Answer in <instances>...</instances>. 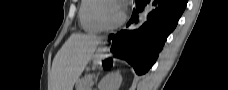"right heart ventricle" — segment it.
<instances>
[{"label":"right heart ventricle","mask_w":228,"mask_h":90,"mask_svg":"<svg viewBox=\"0 0 228 90\" xmlns=\"http://www.w3.org/2000/svg\"><path fill=\"white\" fill-rule=\"evenodd\" d=\"M98 0H82L79 7V21L84 31L88 33H98L103 29L96 23L94 9Z\"/></svg>","instance_id":"1"}]
</instances>
